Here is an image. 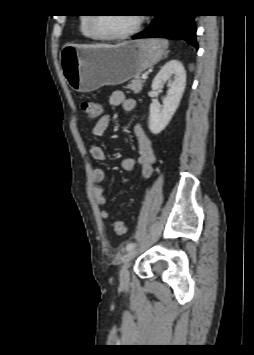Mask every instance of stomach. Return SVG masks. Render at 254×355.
Masks as SVG:
<instances>
[{"instance_id":"0dacf381","label":"stomach","mask_w":254,"mask_h":355,"mask_svg":"<svg viewBox=\"0 0 254 355\" xmlns=\"http://www.w3.org/2000/svg\"><path fill=\"white\" fill-rule=\"evenodd\" d=\"M168 48L164 39L127 41L112 47L66 45L60 52L64 76L78 92L121 84L158 63Z\"/></svg>"}]
</instances>
